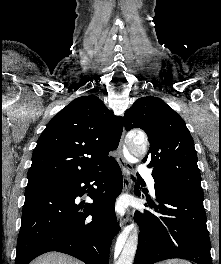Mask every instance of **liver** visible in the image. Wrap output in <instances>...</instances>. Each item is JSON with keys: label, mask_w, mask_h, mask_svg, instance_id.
<instances>
[{"label": "liver", "mask_w": 221, "mask_h": 264, "mask_svg": "<svg viewBox=\"0 0 221 264\" xmlns=\"http://www.w3.org/2000/svg\"><path fill=\"white\" fill-rule=\"evenodd\" d=\"M30 264H84L81 261L57 252L43 254L32 261Z\"/></svg>", "instance_id": "6515ba94"}]
</instances>
